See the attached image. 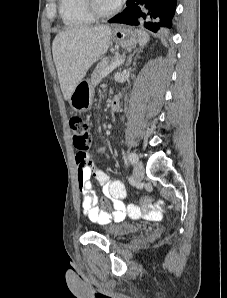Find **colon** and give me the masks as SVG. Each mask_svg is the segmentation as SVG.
<instances>
[{
    "instance_id": "1",
    "label": "colon",
    "mask_w": 227,
    "mask_h": 298,
    "mask_svg": "<svg viewBox=\"0 0 227 298\" xmlns=\"http://www.w3.org/2000/svg\"><path fill=\"white\" fill-rule=\"evenodd\" d=\"M70 128L73 138V143L75 148L79 152H86L89 149L91 143V133L89 123L78 116H74L70 119ZM102 204L104 207L109 206V201L104 198L102 199ZM143 206L152 207L153 203L151 202L150 196H143ZM139 213H133V216H137Z\"/></svg>"
}]
</instances>
